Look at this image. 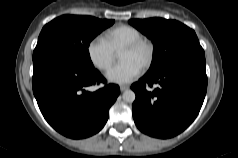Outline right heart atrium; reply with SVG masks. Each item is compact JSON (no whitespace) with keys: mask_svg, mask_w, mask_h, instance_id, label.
<instances>
[{"mask_svg":"<svg viewBox=\"0 0 238 158\" xmlns=\"http://www.w3.org/2000/svg\"><path fill=\"white\" fill-rule=\"evenodd\" d=\"M87 53L91 63L99 70L108 69L116 57V52L101 36L90 40L87 45Z\"/></svg>","mask_w":238,"mask_h":158,"instance_id":"1","label":"right heart atrium"}]
</instances>
